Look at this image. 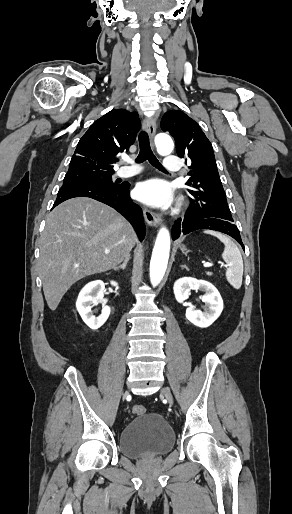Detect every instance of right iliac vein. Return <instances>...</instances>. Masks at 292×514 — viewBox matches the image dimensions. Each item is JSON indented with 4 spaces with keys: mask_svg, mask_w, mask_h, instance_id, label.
Instances as JSON below:
<instances>
[{
    "mask_svg": "<svg viewBox=\"0 0 292 514\" xmlns=\"http://www.w3.org/2000/svg\"><path fill=\"white\" fill-rule=\"evenodd\" d=\"M127 394H128V392L126 391V392L124 393V397H125Z\"/></svg>",
    "mask_w": 292,
    "mask_h": 514,
    "instance_id": "obj_1",
    "label": "right iliac vein"
}]
</instances>
